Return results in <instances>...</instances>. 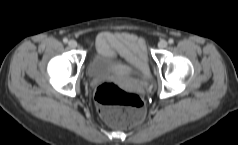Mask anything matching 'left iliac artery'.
<instances>
[{"mask_svg":"<svg viewBox=\"0 0 238 145\" xmlns=\"http://www.w3.org/2000/svg\"><path fill=\"white\" fill-rule=\"evenodd\" d=\"M168 43H169V44H173V43H174V40H173L172 38H170V39L168 40Z\"/></svg>","mask_w":238,"mask_h":145,"instance_id":"obj_1","label":"left iliac artery"}]
</instances>
